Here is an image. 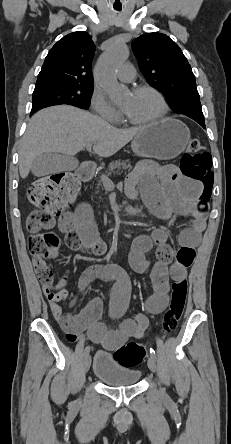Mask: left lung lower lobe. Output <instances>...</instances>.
Here are the masks:
<instances>
[{"label":"left lung lower lobe","mask_w":231,"mask_h":444,"mask_svg":"<svg viewBox=\"0 0 231 444\" xmlns=\"http://www.w3.org/2000/svg\"><path fill=\"white\" fill-rule=\"evenodd\" d=\"M196 122H198L203 128H205V121L200 119H194Z\"/></svg>","instance_id":"left-lung-lower-lobe-1"}]
</instances>
